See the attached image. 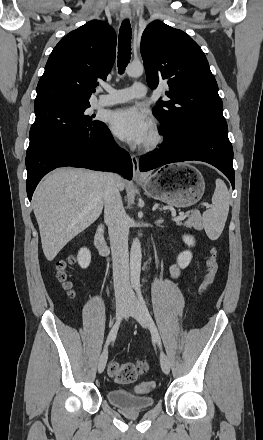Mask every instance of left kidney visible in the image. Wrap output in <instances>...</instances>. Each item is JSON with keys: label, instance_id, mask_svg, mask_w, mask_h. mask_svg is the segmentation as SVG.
I'll return each instance as SVG.
<instances>
[{"label": "left kidney", "instance_id": "left-kidney-1", "mask_svg": "<svg viewBox=\"0 0 263 440\" xmlns=\"http://www.w3.org/2000/svg\"><path fill=\"white\" fill-rule=\"evenodd\" d=\"M184 243L186 245L190 246H194L195 245V240L193 236L190 235H184L182 237ZM192 259V253L189 250L183 251L181 252L178 257H177V263L179 265L180 268L184 269L186 268Z\"/></svg>", "mask_w": 263, "mask_h": 440}]
</instances>
